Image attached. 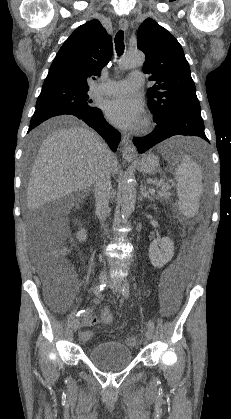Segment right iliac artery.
Returning a JSON list of instances; mask_svg holds the SVG:
<instances>
[{
    "label": "right iliac artery",
    "instance_id": "obj_1",
    "mask_svg": "<svg viewBox=\"0 0 231 419\" xmlns=\"http://www.w3.org/2000/svg\"><path fill=\"white\" fill-rule=\"evenodd\" d=\"M105 286H106V284H101V285H97L94 289H93V294L95 295V296H98L102 291H103V289L105 288ZM83 315H85V310H81V311H79L78 313H77V316H83Z\"/></svg>",
    "mask_w": 231,
    "mask_h": 419
}]
</instances>
